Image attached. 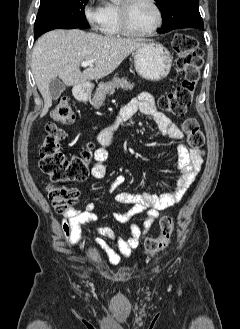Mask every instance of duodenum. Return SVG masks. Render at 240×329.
<instances>
[{
	"instance_id": "1",
	"label": "duodenum",
	"mask_w": 240,
	"mask_h": 329,
	"mask_svg": "<svg viewBox=\"0 0 240 329\" xmlns=\"http://www.w3.org/2000/svg\"><path fill=\"white\" fill-rule=\"evenodd\" d=\"M73 95L78 101H86L87 99V90L83 85H77L73 89Z\"/></svg>"
}]
</instances>
